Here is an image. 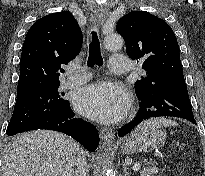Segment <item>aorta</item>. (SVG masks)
Returning <instances> with one entry per match:
<instances>
[{"mask_svg": "<svg viewBox=\"0 0 205 176\" xmlns=\"http://www.w3.org/2000/svg\"><path fill=\"white\" fill-rule=\"evenodd\" d=\"M123 45V39L118 34H110L104 39V46L107 50H116L121 48ZM107 176H112L108 174Z\"/></svg>", "mask_w": 205, "mask_h": 176, "instance_id": "aorta-1", "label": "aorta"}]
</instances>
